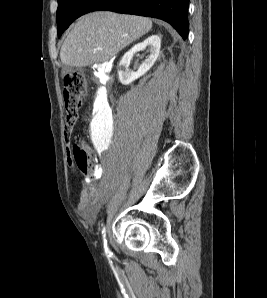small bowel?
Returning <instances> with one entry per match:
<instances>
[{"label":"small bowel","instance_id":"small-bowel-1","mask_svg":"<svg viewBox=\"0 0 267 298\" xmlns=\"http://www.w3.org/2000/svg\"><path fill=\"white\" fill-rule=\"evenodd\" d=\"M68 138L69 135L65 133ZM109 198V193H102L93 185L85 184L80 192L78 212L87 221L96 218L99 207Z\"/></svg>","mask_w":267,"mask_h":298}]
</instances>
